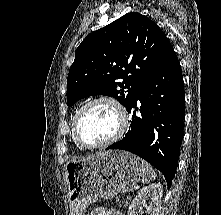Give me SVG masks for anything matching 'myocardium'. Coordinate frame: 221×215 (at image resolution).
<instances>
[{
	"label": "myocardium",
	"mask_w": 221,
	"mask_h": 215,
	"mask_svg": "<svg viewBox=\"0 0 221 215\" xmlns=\"http://www.w3.org/2000/svg\"><path fill=\"white\" fill-rule=\"evenodd\" d=\"M99 102H107L116 109L118 116H119V127L117 131L115 132V134L109 139L100 143H88L85 140H83V138L81 137L79 133L80 118L83 112L89 106L95 103H99ZM128 123H129L128 116L122 104L114 97L102 95V96H98V97L88 100L78 109L73 119L72 131H73L74 139L79 146L85 149H97V148H103V147L109 146L115 143L116 141H118L120 138H122V136L124 135V133L126 132L128 128Z\"/></svg>",
	"instance_id": "f54148a6"
}]
</instances>
